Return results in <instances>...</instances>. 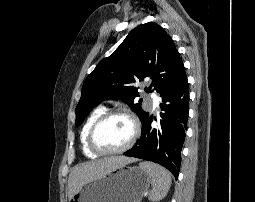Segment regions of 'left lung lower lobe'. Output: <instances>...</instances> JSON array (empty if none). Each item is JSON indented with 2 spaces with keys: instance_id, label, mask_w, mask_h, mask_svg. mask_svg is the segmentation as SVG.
Listing matches in <instances>:
<instances>
[{
  "instance_id": "left-lung-lower-lobe-1",
  "label": "left lung lower lobe",
  "mask_w": 255,
  "mask_h": 202,
  "mask_svg": "<svg viewBox=\"0 0 255 202\" xmlns=\"http://www.w3.org/2000/svg\"><path fill=\"white\" fill-rule=\"evenodd\" d=\"M161 97L160 107L163 112L159 115V125L156 128L151 127L153 118L147 115L142 121L143 129L139 142L124 155L158 163L177 179L189 112L186 73Z\"/></svg>"
}]
</instances>
